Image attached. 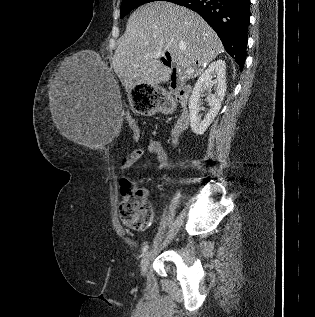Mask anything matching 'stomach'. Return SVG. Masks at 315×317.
Masks as SVG:
<instances>
[{"label":"stomach","mask_w":315,"mask_h":317,"mask_svg":"<svg viewBox=\"0 0 315 317\" xmlns=\"http://www.w3.org/2000/svg\"><path fill=\"white\" fill-rule=\"evenodd\" d=\"M130 98L135 114H156L158 110L157 97L159 89L154 84H133Z\"/></svg>","instance_id":"0dacf381"}]
</instances>
